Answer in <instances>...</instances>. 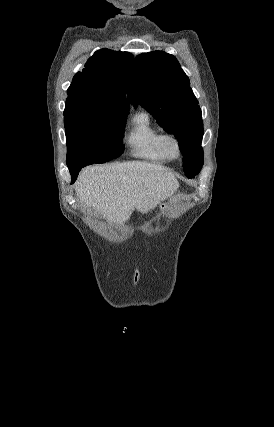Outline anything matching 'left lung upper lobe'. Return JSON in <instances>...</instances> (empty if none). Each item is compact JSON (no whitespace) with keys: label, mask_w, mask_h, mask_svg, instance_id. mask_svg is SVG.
<instances>
[{"label":"left lung upper lobe","mask_w":274,"mask_h":427,"mask_svg":"<svg viewBox=\"0 0 274 427\" xmlns=\"http://www.w3.org/2000/svg\"><path fill=\"white\" fill-rule=\"evenodd\" d=\"M127 95L135 108L140 104L176 137L186 176L198 174L203 165L202 113L177 59L163 51L138 55L129 73Z\"/></svg>","instance_id":"left-lung-upper-lobe-1"}]
</instances>
